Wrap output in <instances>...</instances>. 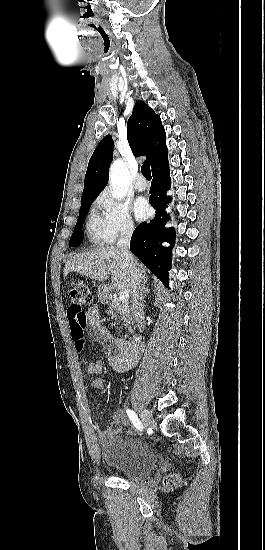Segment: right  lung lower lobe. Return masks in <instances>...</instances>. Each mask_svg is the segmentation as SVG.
I'll return each instance as SVG.
<instances>
[{
    "label": "right lung lower lobe",
    "instance_id": "obj_1",
    "mask_svg": "<svg viewBox=\"0 0 265 550\" xmlns=\"http://www.w3.org/2000/svg\"><path fill=\"white\" fill-rule=\"evenodd\" d=\"M152 175L149 202L156 210V214L152 221L144 222L135 229L130 250L168 287V270L171 269L172 247L176 234L174 228H165L169 215L163 209L172 200L170 196H166L171 186L167 157L152 169ZM164 241L170 243L169 248L161 245Z\"/></svg>",
    "mask_w": 265,
    "mask_h": 550
}]
</instances>
